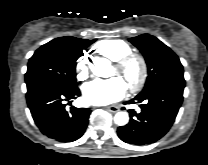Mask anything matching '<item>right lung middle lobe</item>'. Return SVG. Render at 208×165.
<instances>
[{
    "mask_svg": "<svg viewBox=\"0 0 208 165\" xmlns=\"http://www.w3.org/2000/svg\"><path fill=\"white\" fill-rule=\"evenodd\" d=\"M94 41L60 37L41 46L29 59L25 74L27 93L44 85L64 89L77 87L76 60L83 54V49Z\"/></svg>",
    "mask_w": 208,
    "mask_h": 165,
    "instance_id": "right-lung-middle-lobe-1",
    "label": "right lung middle lobe"
}]
</instances>
